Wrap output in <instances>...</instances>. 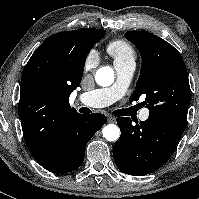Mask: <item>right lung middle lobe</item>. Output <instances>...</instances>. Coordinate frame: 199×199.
I'll list each match as a JSON object with an SVG mask.
<instances>
[{
	"instance_id": "dd1d6c3e",
	"label": "right lung middle lobe",
	"mask_w": 199,
	"mask_h": 199,
	"mask_svg": "<svg viewBox=\"0 0 199 199\" xmlns=\"http://www.w3.org/2000/svg\"><path fill=\"white\" fill-rule=\"evenodd\" d=\"M106 33V32H105ZM101 37H90L87 41H86V46L90 49L94 46L95 43H97L99 41Z\"/></svg>"
}]
</instances>
